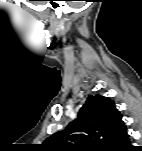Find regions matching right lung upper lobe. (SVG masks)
<instances>
[{
	"mask_svg": "<svg viewBox=\"0 0 142 151\" xmlns=\"http://www.w3.org/2000/svg\"><path fill=\"white\" fill-rule=\"evenodd\" d=\"M129 140L127 128L114 101L89 95L68 126L44 141L51 151H116Z\"/></svg>",
	"mask_w": 142,
	"mask_h": 151,
	"instance_id": "right-lung-upper-lobe-1",
	"label": "right lung upper lobe"
}]
</instances>
